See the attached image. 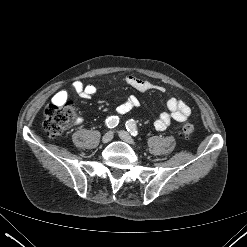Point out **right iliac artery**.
Masks as SVG:
<instances>
[{
  "label": "right iliac artery",
  "instance_id": "right-iliac-artery-1",
  "mask_svg": "<svg viewBox=\"0 0 247 247\" xmlns=\"http://www.w3.org/2000/svg\"><path fill=\"white\" fill-rule=\"evenodd\" d=\"M118 123H119V119H118V117H115V116H111V117H109L108 119H106V126L108 127V128H115L117 125H118Z\"/></svg>",
  "mask_w": 247,
  "mask_h": 247
}]
</instances>
